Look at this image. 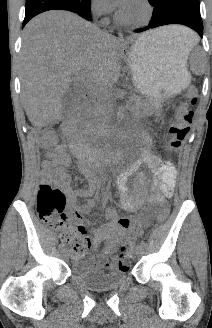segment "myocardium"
I'll use <instances>...</instances> for the list:
<instances>
[{
  "mask_svg": "<svg viewBox=\"0 0 212 328\" xmlns=\"http://www.w3.org/2000/svg\"><path fill=\"white\" fill-rule=\"evenodd\" d=\"M144 8L145 10V15L143 17V20H138V21H133L130 19H127L123 12H121L119 14V20L120 22L127 26V27H132V28H139L141 26H143L147 21H149V19L152 17L153 14V7L150 3L149 0H137Z\"/></svg>",
  "mask_w": 212,
  "mask_h": 328,
  "instance_id": "obj_1",
  "label": "myocardium"
}]
</instances>
